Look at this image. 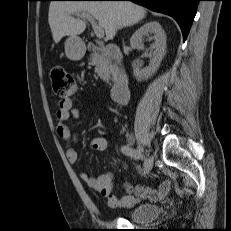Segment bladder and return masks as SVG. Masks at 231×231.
Listing matches in <instances>:
<instances>
[{
  "instance_id": "31cf9c89",
  "label": "bladder",
  "mask_w": 231,
  "mask_h": 231,
  "mask_svg": "<svg viewBox=\"0 0 231 231\" xmlns=\"http://www.w3.org/2000/svg\"><path fill=\"white\" fill-rule=\"evenodd\" d=\"M161 213L159 205L138 204L126 212L129 221L134 223H145L156 219Z\"/></svg>"
}]
</instances>
